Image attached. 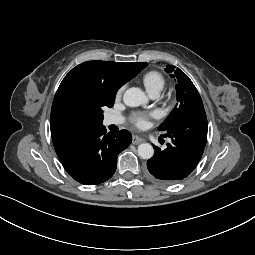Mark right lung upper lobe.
<instances>
[{"mask_svg": "<svg viewBox=\"0 0 255 255\" xmlns=\"http://www.w3.org/2000/svg\"><path fill=\"white\" fill-rule=\"evenodd\" d=\"M146 66L147 63L143 62L87 61L74 67L65 76L58 89H61L67 83L75 82L99 90L107 95L115 96L117 90L123 84L135 77ZM56 93H58V90ZM55 100L56 95L51 110V134L78 129L79 127L60 117Z\"/></svg>", "mask_w": 255, "mask_h": 255, "instance_id": "obj_1", "label": "right lung upper lobe"}]
</instances>
